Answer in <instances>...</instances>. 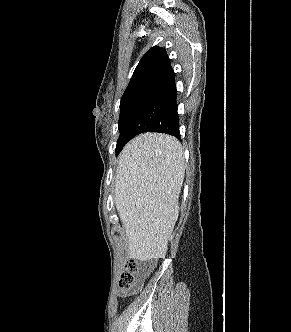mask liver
Here are the masks:
<instances>
[{"instance_id":"liver-1","label":"liver","mask_w":291,"mask_h":332,"mask_svg":"<svg viewBox=\"0 0 291 332\" xmlns=\"http://www.w3.org/2000/svg\"><path fill=\"white\" fill-rule=\"evenodd\" d=\"M184 175L183 149L172 136L141 134L121 151L114 200L128 237L130 258L165 257L179 215Z\"/></svg>"}]
</instances>
